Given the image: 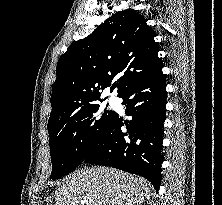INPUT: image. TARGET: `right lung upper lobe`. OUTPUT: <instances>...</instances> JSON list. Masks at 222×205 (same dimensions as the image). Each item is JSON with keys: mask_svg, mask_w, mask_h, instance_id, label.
Returning a JSON list of instances; mask_svg holds the SVG:
<instances>
[{"mask_svg": "<svg viewBox=\"0 0 222 205\" xmlns=\"http://www.w3.org/2000/svg\"><path fill=\"white\" fill-rule=\"evenodd\" d=\"M134 9L113 14L92 34L74 41L57 64L48 124L94 104L112 84L118 97L130 85L162 68L155 33Z\"/></svg>", "mask_w": 222, "mask_h": 205, "instance_id": "cb5924a9", "label": "right lung upper lobe"}]
</instances>
